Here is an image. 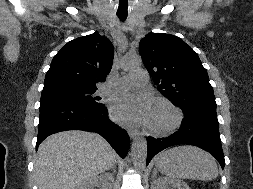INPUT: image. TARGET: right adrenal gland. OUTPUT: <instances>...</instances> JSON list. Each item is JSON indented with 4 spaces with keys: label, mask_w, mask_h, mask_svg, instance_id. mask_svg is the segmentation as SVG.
<instances>
[{
    "label": "right adrenal gland",
    "mask_w": 253,
    "mask_h": 189,
    "mask_svg": "<svg viewBox=\"0 0 253 189\" xmlns=\"http://www.w3.org/2000/svg\"><path fill=\"white\" fill-rule=\"evenodd\" d=\"M112 169H113V173H115L116 172V166H113Z\"/></svg>",
    "instance_id": "obj_1"
}]
</instances>
